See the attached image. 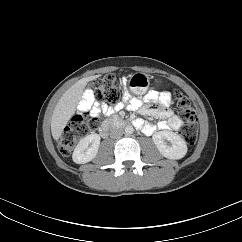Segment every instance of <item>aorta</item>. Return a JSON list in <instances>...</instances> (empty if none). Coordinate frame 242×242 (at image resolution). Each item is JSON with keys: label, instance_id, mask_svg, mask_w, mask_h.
<instances>
[{"label": "aorta", "instance_id": "1", "mask_svg": "<svg viewBox=\"0 0 242 242\" xmlns=\"http://www.w3.org/2000/svg\"><path fill=\"white\" fill-rule=\"evenodd\" d=\"M124 131L127 135H131L134 132V128L132 126L128 125L125 127Z\"/></svg>", "mask_w": 242, "mask_h": 242}]
</instances>
